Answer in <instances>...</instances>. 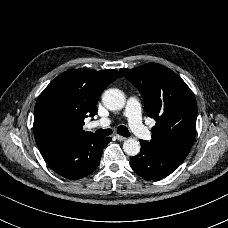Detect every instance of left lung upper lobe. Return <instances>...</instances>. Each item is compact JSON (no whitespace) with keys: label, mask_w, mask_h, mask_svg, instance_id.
<instances>
[{"label":"left lung upper lobe","mask_w":228,"mask_h":228,"mask_svg":"<svg viewBox=\"0 0 228 228\" xmlns=\"http://www.w3.org/2000/svg\"><path fill=\"white\" fill-rule=\"evenodd\" d=\"M140 91L145 110L156 120L152 149L187 156L196 134L197 104L186 83L169 68L156 64L120 69Z\"/></svg>","instance_id":"5c2ea615"}]
</instances>
